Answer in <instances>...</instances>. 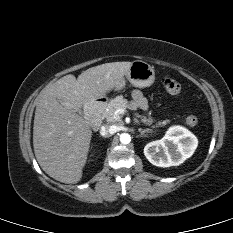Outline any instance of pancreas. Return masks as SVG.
I'll list each match as a JSON object with an SVG mask.
<instances>
[{
    "label": "pancreas",
    "mask_w": 233,
    "mask_h": 233,
    "mask_svg": "<svg viewBox=\"0 0 233 233\" xmlns=\"http://www.w3.org/2000/svg\"><path fill=\"white\" fill-rule=\"evenodd\" d=\"M128 107V101L123 98V96H117L116 98L112 99L106 109L103 111L102 116L105 118L108 122H116L120 121L121 117L120 115L118 117H115V111L118 109H125ZM142 122L146 125H151L153 122V119L151 118H142ZM169 120L159 121L156 124V127H162L168 124Z\"/></svg>",
    "instance_id": "1"
}]
</instances>
